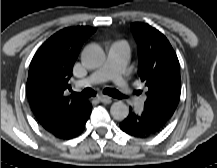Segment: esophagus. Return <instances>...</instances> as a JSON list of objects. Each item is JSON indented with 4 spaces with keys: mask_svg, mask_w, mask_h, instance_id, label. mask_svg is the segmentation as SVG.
<instances>
[{
    "mask_svg": "<svg viewBox=\"0 0 217 168\" xmlns=\"http://www.w3.org/2000/svg\"><path fill=\"white\" fill-rule=\"evenodd\" d=\"M98 99L100 100V102L104 104H109L112 102V98L106 95H100L98 96Z\"/></svg>",
    "mask_w": 217,
    "mask_h": 168,
    "instance_id": "34e87169",
    "label": "esophagus"
}]
</instances>
